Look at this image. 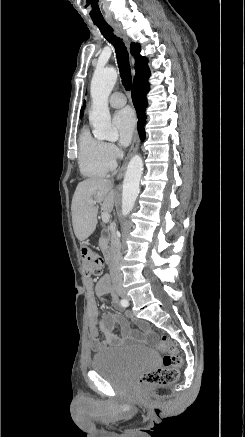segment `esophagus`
Listing matches in <instances>:
<instances>
[{
    "mask_svg": "<svg viewBox=\"0 0 245 437\" xmlns=\"http://www.w3.org/2000/svg\"><path fill=\"white\" fill-rule=\"evenodd\" d=\"M111 24H112V26L116 29V31L121 35V37H122L125 41H127V39H126L124 33L119 29V27H118L116 24H114V23H111ZM139 145H140V137H139L138 132L136 131V132H135V135H134V138H133L132 145H131V147H130V150H129V152H128V154H127V156H126V158H125V160H124V162H123L122 167L120 168V170H119V172H118V175H117V178H118V179H121V178L123 177L124 172H125L126 167H127V164H128V162H129L130 158L133 156V154L136 153L137 150L139 149Z\"/></svg>",
    "mask_w": 245,
    "mask_h": 437,
    "instance_id": "esophagus-1",
    "label": "esophagus"
}]
</instances>
